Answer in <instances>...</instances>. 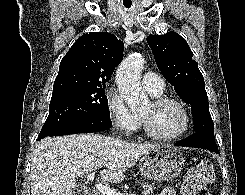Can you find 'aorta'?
Masks as SVG:
<instances>
[{
	"label": "aorta",
	"instance_id": "1",
	"mask_svg": "<svg viewBox=\"0 0 245 195\" xmlns=\"http://www.w3.org/2000/svg\"><path fill=\"white\" fill-rule=\"evenodd\" d=\"M144 58L140 53H133L125 58L116 72V83L122 97L132 111L148 104V96L140 85Z\"/></svg>",
	"mask_w": 245,
	"mask_h": 195
}]
</instances>
